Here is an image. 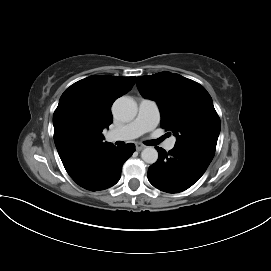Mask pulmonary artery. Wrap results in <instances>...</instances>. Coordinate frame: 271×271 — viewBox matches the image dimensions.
<instances>
[{
	"label": "pulmonary artery",
	"mask_w": 271,
	"mask_h": 271,
	"mask_svg": "<svg viewBox=\"0 0 271 271\" xmlns=\"http://www.w3.org/2000/svg\"><path fill=\"white\" fill-rule=\"evenodd\" d=\"M160 120L159 108L153 100L142 99L139 103V110L136 118L121 128L114 129L109 133L113 140H129L139 137L155 128ZM176 142L175 137H171L165 143V148L171 150Z\"/></svg>",
	"instance_id": "pulmonary-artery-1"
}]
</instances>
